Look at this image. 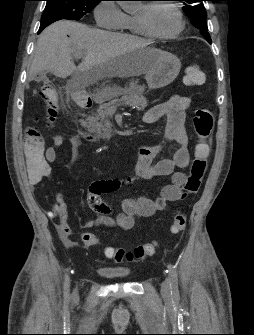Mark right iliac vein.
Masks as SVG:
<instances>
[{"mask_svg": "<svg viewBox=\"0 0 254 335\" xmlns=\"http://www.w3.org/2000/svg\"><path fill=\"white\" fill-rule=\"evenodd\" d=\"M76 294H77V291L75 290V291H74V295H76Z\"/></svg>", "mask_w": 254, "mask_h": 335, "instance_id": "obj_1", "label": "right iliac vein"}]
</instances>
